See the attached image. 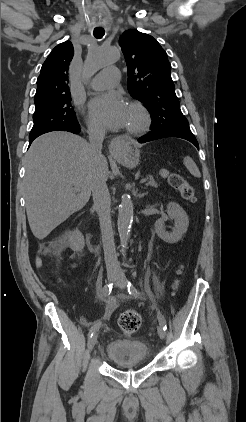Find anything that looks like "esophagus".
Instances as JSON below:
<instances>
[{
	"instance_id": "34e87169",
	"label": "esophagus",
	"mask_w": 246,
	"mask_h": 422,
	"mask_svg": "<svg viewBox=\"0 0 246 422\" xmlns=\"http://www.w3.org/2000/svg\"><path fill=\"white\" fill-rule=\"evenodd\" d=\"M121 146H122V142L119 138L113 139L110 146H109L110 153L112 155L117 154L119 152Z\"/></svg>"
}]
</instances>
